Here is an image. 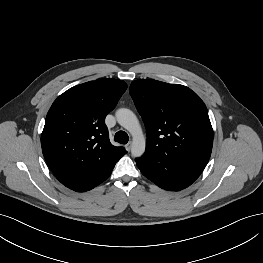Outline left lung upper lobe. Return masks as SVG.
I'll return each instance as SVG.
<instances>
[{"label":"left lung upper lobe","instance_id":"obj_1","mask_svg":"<svg viewBox=\"0 0 263 263\" xmlns=\"http://www.w3.org/2000/svg\"><path fill=\"white\" fill-rule=\"evenodd\" d=\"M130 95L147 129L145 154L172 157L204 169L213 145L207 108L186 86L139 79Z\"/></svg>","mask_w":263,"mask_h":263}]
</instances>
